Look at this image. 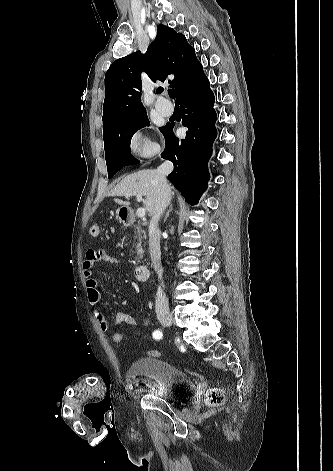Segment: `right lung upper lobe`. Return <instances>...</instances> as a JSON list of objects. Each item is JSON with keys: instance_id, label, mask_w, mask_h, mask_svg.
I'll use <instances>...</instances> for the list:
<instances>
[{"instance_id": "obj_1", "label": "right lung upper lobe", "mask_w": 333, "mask_h": 471, "mask_svg": "<svg viewBox=\"0 0 333 471\" xmlns=\"http://www.w3.org/2000/svg\"><path fill=\"white\" fill-rule=\"evenodd\" d=\"M145 71L154 82H164L176 88L177 100L192 82L203 74L201 63L184 35L165 25H158L157 36L147 52L140 51L116 60L105 75V100L103 106V132L112 125L129 120L146 112L141 102V72ZM164 89L159 87L156 93Z\"/></svg>"}]
</instances>
